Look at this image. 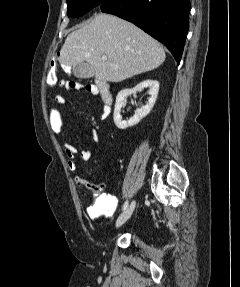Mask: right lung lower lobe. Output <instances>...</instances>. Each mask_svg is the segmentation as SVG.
I'll use <instances>...</instances> for the list:
<instances>
[{
  "mask_svg": "<svg viewBox=\"0 0 240 287\" xmlns=\"http://www.w3.org/2000/svg\"><path fill=\"white\" fill-rule=\"evenodd\" d=\"M99 8L162 42L180 63L189 29V0H106Z\"/></svg>",
  "mask_w": 240,
  "mask_h": 287,
  "instance_id": "obj_1",
  "label": "right lung lower lobe"
}]
</instances>
